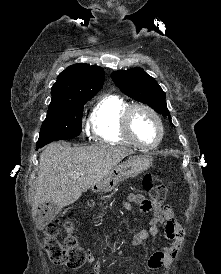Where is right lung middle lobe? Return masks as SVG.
<instances>
[{
	"mask_svg": "<svg viewBox=\"0 0 221 274\" xmlns=\"http://www.w3.org/2000/svg\"><path fill=\"white\" fill-rule=\"evenodd\" d=\"M93 95L81 96L71 100L51 102L44 120L36 149L56 141L71 139L82 131L84 104Z\"/></svg>",
	"mask_w": 221,
	"mask_h": 274,
	"instance_id": "1",
	"label": "right lung middle lobe"
}]
</instances>
